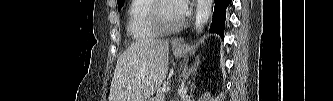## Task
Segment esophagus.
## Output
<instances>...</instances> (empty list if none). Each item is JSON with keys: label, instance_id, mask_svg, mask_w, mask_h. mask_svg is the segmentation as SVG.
Masks as SVG:
<instances>
[{"label": "esophagus", "instance_id": "34e87169", "mask_svg": "<svg viewBox=\"0 0 333 101\" xmlns=\"http://www.w3.org/2000/svg\"><path fill=\"white\" fill-rule=\"evenodd\" d=\"M183 42H184V38H175L174 40H173V44L174 45H176V46H181L182 44H183Z\"/></svg>", "mask_w": 333, "mask_h": 101}]
</instances>
